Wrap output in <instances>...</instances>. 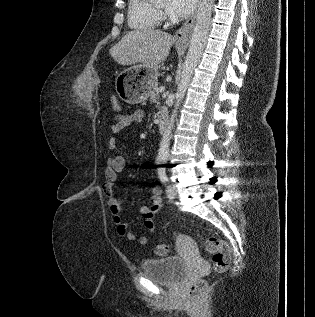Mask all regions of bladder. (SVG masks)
Segmentation results:
<instances>
[{
	"label": "bladder",
	"instance_id": "1",
	"mask_svg": "<svg viewBox=\"0 0 315 317\" xmlns=\"http://www.w3.org/2000/svg\"><path fill=\"white\" fill-rule=\"evenodd\" d=\"M141 268L153 280L170 287L179 285L188 272L187 263L177 256L146 259Z\"/></svg>",
	"mask_w": 315,
	"mask_h": 317
}]
</instances>
